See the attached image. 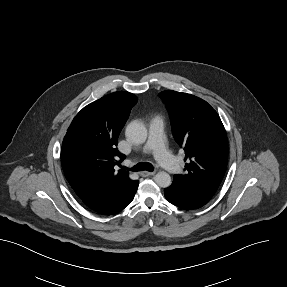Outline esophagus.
I'll return each instance as SVG.
<instances>
[{
  "label": "esophagus",
  "instance_id": "esophagus-1",
  "mask_svg": "<svg viewBox=\"0 0 287 287\" xmlns=\"http://www.w3.org/2000/svg\"><path fill=\"white\" fill-rule=\"evenodd\" d=\"M154 174H155L154 171L153 172L143 171V172L140 173V175L142 177H147V176H151V175H154Z\"/></svg>",
  "mask_w": 287,
  "mask_h": 287
}]
</instances>
